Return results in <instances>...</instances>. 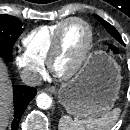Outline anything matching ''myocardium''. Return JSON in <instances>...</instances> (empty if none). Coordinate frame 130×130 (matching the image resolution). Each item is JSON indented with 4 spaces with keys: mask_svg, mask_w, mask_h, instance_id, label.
<instances>
[{
    "mask_svg": "<svg viewBox=\"0 0 130 130\" xmlns=\"http://www.w3.org/2000/svg\"><path fill=\"white\" fill-rule=\"evenodd\" d=\"M72 22H79L86 28L87 33H88L87 43H86L83 53L81 54L80 58L75 63V65L66 72H59L55 69V61L61 52L63 32L66 26ZM92 43H93V31H92V27L87 21L79 17H72V18L67 19L61 25V27L58 29V31L56 32L54 36L53 43H52L48 58L46 60L49 71L56 78L60 80L70 79L71 77H73L79 72V70L83 67V65L87 61L90 51L92 49Z\"/></svg>",
    "mask_w": 130,
    "mask_h": 130,
    "instance_id": "1",
    "label": "myocardium"
}]
</instances>
